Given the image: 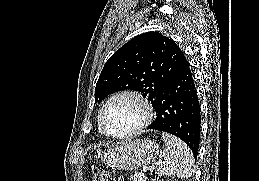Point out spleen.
Here are the masks:
<instances>
[{
    "instance_id": "obj_1",
    "label": "spleen",
    "mask_w": 259,
    "mask_h": 181,
    "mask_svg": "<svg viewBox=\"0 0 259 181\" xmlns=\"http://www.w3.org/2000/svg\"><path fill=\"white\" fill-rule=\"evenodd\" d=\"M165 142L164 161L160 163L157 174L188 178L193 173L194 158L190 148L182 140L163 132Z\"/></svg>"
}]
</instances>
